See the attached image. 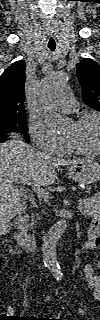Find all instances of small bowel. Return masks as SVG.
<instances>
[{
  "instance_id": "small-bowel-1",
  "label": "small bowel",
  "mask_w": 100,
  "mask_h": 320,
  "mask_svg": "<svg viewBox=\"0 0 100 320\" xmlns=\"http://www.w3.org/2000/svg\"><path fill=\"white\" fill-rule=\"evenodd\" d=\"M95 198H83L80 200V207L83 211L87 213H93V208L95 207ZM96 227L99 228V220L96 219L92 226L91 230ZM87 247L94 248L89 245L87 242ZM98 268L100 269V264L98 265ZM84 278L88 284V287L93 290V298L94 300H98L100 298V276L96 272V267L93 264L87 265L83 270Z\"/></svg>"
}]
</instances>
